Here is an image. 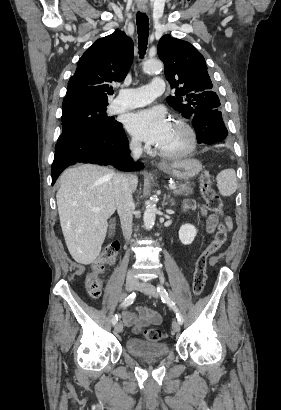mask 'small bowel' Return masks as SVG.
I'll list each match as a JSON object with an SVG mask.
<instances>
[{"mask_svg":"<svg viewBox=\"0 0 281 410\" xmlns=\"http://www.w3.org/2000/svg\"><path fill=\"white\" fill-rule=\"evenodd\" d=\"M192 206V202H187L184 205V209L190 208ZM217 222V216H209L206 222L207 232L212 233L216 228ZM136 312L137 314L127 310L122 314L125 325L134 330H140L141 328L149 325H158L162 321L161 315L149 307L138 306L136 307Z\"/></svg>","mask_w":281,"mask_h":410,"instance_id":"1","label":"small bowel"}]
</instances>
